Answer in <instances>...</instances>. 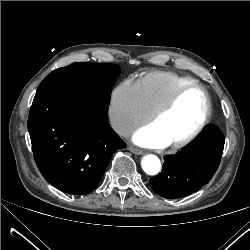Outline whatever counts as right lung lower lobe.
I'll return each mask as SVG.
<instances>
[{
	"label": "right lung lower lobe",
	"instance_id": "right-lung-lower-lobe-1",
	"mask_svg": "<svg viewBox=\"0 0 250 250\" xmlns=\"http://www.w3.org/2000/svg\"><path fill=\"white\" fill-rule=\"evenodd\" d=\"M108 105L73 90L36 92L28 131L39 171L63 192L96 188L112 157L126 144L108 124Z\"/></svg>",
	"mask_w": 250,
	"mask_h": 250
}]
</instances>
